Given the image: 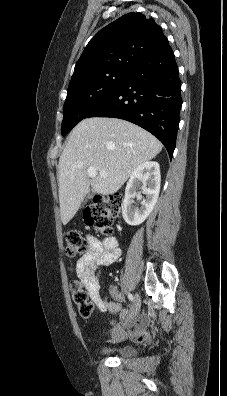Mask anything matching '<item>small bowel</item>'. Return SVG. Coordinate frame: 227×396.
Returning <instances> with one entry per match:
<instances>
[{"instance_id": "obj_1", "label": "small bowel", "mask_w": 227, "mask_h": 396, "mask_svg": "<svg viewBox=\"0 0 227 396\" xmlns=\"http://www.w3.org/2000/svg\"><path fill=\"white\" fill-rule=\"evenodd\" d=\"M88 241L89 250L77 261L76 272L78 278L88 291L91 300L100 310L108 309L117 314L121 321H127L128 335L132 339L144 341L147 337L146 328L150 321L149 316L144 314L129 321L128 311L121 304L124 297L116 287H111L109 291L111 299L101 294L100 273L120 256L116 239L107 238L101 242L94 236L89 235ZM110 333L115 340L122 339L125 336L119 326H114Z\"/></svg>"}]
</instances>
